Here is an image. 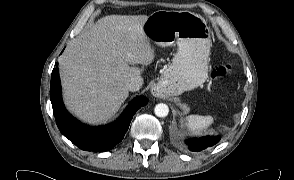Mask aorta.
I'll return each instance as SVG.
<instances>
[{"label":"aorta","mask_w":294,"mask_h":180,"mask_svg":"<svg viewBox=\"0 0 294 180\" xmlns=\"http://www.w3.org/2000/svg\"><path fill=\"white\" fill-rule=\"evenodd\" d=\"M154 113L157 117H166L169 113V107L164 103L155 106Z\"/></svg>","instance_id":"1"}]
</instances>
